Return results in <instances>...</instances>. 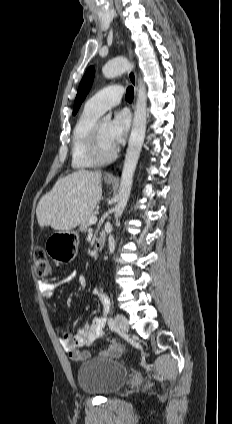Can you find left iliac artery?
<instances>
[{"label":"left iliac artery","mask_w":232,"mask_h":424,"mask_svg":"<svg viewBox=\"0 0 232 424\" xmlns=\"http://www.w3.org/2000/svg\"><path fill=\"white\" fill-rule=\"evenodd\" d=\"M105 312H107V313L109 312V306H107L105 308ZM108 326L111 330H113V331L116 330L115 322L111 317L108 318Z\"/></svg>","instance_id":"1"}]
</instances>
